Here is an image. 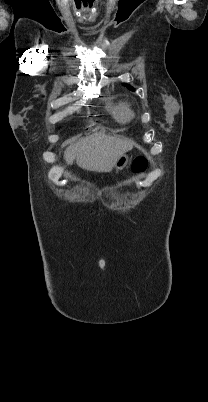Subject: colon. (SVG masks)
<instances>
[{"label":"colon","mask_w":208,"mask_h":402,"mask_svg":"<svg viewBox=\"0 0 208 402\" xmlns=\"http://www.w3.org/2000/svg\"><path fill=\"white\" fill-rule=\"evenodd\" d=\"M148 168V160L143 156L137 157L132 164V171L135 175L145 172Z\"/></svg>","instance_id":"1"}]
</instances>
